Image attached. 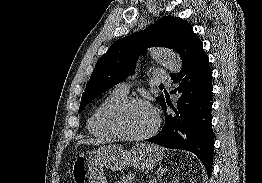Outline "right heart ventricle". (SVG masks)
Here are the masks:
<instances>
[{
  "label": "right heart ventricle",
  "mask_w": 262,
  "mask_h": 183,
  "mask_svg": "<svg viewBox=\"0 0 262 183\" xmlns=\"http://www.w3.org/2000/svg\"><path fill=\"white\" fill-rule=\"evenodd\" d=\"M125 98L126 95L114 90L99 102L87 121V128L93 136L105 139L116 137L107 125V114Z\"/></svg>",
  "instance_id": "right-heart-ventricle-1"
}]
</instances>
